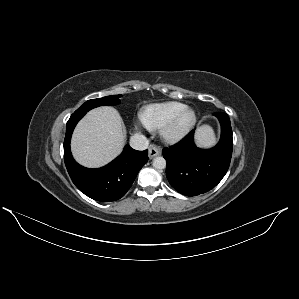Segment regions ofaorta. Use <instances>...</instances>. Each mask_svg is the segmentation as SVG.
I'll return each instance as SVG.
<instances>
[{
  "mask_svg": "<svg viewBox=\"0 0 299 299\" xmlns=\"http://www.w3.org/2000/svg\"><path fill=\"white\" fill-rule=\"evenodd\" d=\"M152 165L156 169H164L166 167V160L161 156L155 157L152 161Z\"/></svg>",
  "mask_w": 299,
  "mask_h": 299,
  "instance_id": "aorta-1",
  "label": "aorta"
}]
</instances>
